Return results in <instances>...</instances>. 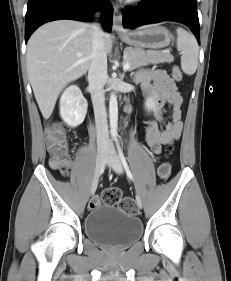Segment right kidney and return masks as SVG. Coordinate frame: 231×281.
Listing matches in <instances>:
<instances>
[{
	"instance_id": "obj_1",
	"label": "right kidney",
	"mask_w": 231,
	"mask_h": 281,
	"mask_svg": "<svg viewBox=\"0 0 231 281\" xmlns=\"http://www.w3.org/2000/svg\"><path fill=\"white\" fill-rule=\"evenodd\" d=\"M87 100L78 86L67 87L60 98V116L69 127L79 126L85 119Z\"/></svg>"
}]
</instances>
